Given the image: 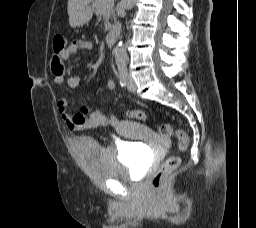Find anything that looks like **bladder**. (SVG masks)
Here are the masks:
<instances>
[{
    "instance_id": "obj_1",
    "label": "bladder",
    "mask_w": 256,
    "mask_h": 228,
    "mask_svg": "<svg viewBox=\"0 0 256 228\" xmlns=\"http://www.w3.org/2000/svg\"><path fill=\"white\" fill-rule=\"evenodd\" d=\"M78 150L84 168L101 179H132L140 175L146 164V154L134 143L121 146V152L105 147L90 138L78 142Z\"/></svg>"
}]
</instances>
